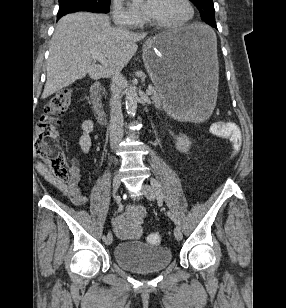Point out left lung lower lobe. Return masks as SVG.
<instances>
[{"mask_svg": "<svg viewBox=\"0 0 286 308\" xmlns=\"http://www.w3.org/2000/svg\"><path fill=\"white\" fill-rule=\"evenodd\" d=\"M206 23L213 26L214 28H217L215 20H211V21H208Z\"/></svg>", "mask_w": 286, "mask_h": 308, "instance_id": "1", "label": "left lung lower lobe"}]
</instances>
